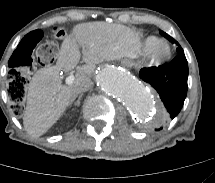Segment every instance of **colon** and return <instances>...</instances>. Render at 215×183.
<instances>
[{
  "mask_svg": "<svg viewBox=\"0 0 215 183\" xmlns=\"http://www.w3.org/2000/svg\"><path fill=\"white\" fill-rule=\"evenodd\" d=\"M67 34L63 25L53 28H42L28 35L26 42L20 44L18 54L14 57L9 73L8 90L13 108L20 110L27 89V78L24 75L29 65L47 67L54 61L61 46L60 39Z\"/></svg>",
  "mask_w": 215,
  "mask_h": 183,
  "instance_id": "colon-1",
  "label": "colon"
}]
</instances>
